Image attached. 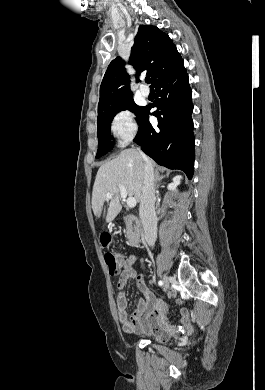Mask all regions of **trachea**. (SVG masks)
I'll use <instances>...</instances> for the list:
<instances>
[{
    "label": "trachea",
    "instance_id": "3493384b",
    "mask_svg": "<svg viewBox=\"0 0 265 390\" xmlns=\"http://www.w3.org/2000/svg\"><path fill=\"white\" fill-rule=\"evenodd\" d=\"M145 82H146L147 84H150V83H151L150 77H146V78H145Z\"/></svg>",
    "mask_w": 265,
    "mask_h": 390
}]
</instances>
